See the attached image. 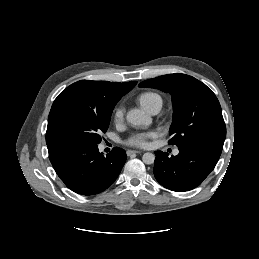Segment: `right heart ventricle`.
I'll return each instance as SVG.
<instances>
[{"label":"right heart ventricle","instance_id":"e07e8e85","mask_svg":"<svg viewBox=\"0 0 259 259\" xmlns=\"http://www.w3.org/2000/svg\"><path fill=\"white\" fill-rule=\"evenodd\" d=\"M137 102L146 111L150 112L153 109H161L163 98L156 91H144L137 96Z\"/></svg>","mask_w":259,"mask_h":259}]
</instances>
